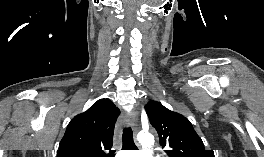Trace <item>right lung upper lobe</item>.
Returning a JSON list of instances; mask_svg holds the SVG:
<instances>
[{
    "instance_id": "1",
    "label": "right lung upper lobe",
    "mask_w": 264,
    "mask_h": 157,
    "mask_svg": "<svg viewBox=\"0 0 264 157\" xmlns=\"http://www.w3.org/2000/svg\"><path fill=\"white\" fill-rule=\"evenodd\" d=\"M119 113L111 100L101 99L75 116L59 144L57 157H114L105 151L113 145L114 126Z\"/></svg>"
}]
</instances>
